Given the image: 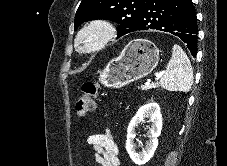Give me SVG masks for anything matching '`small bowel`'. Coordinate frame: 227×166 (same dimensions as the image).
I'll use <instances>...</instances> for the list:
<instances>
[{
    "label": "small bowel",
    "mask_w": 227,
    "mask_h": 166,
    "mask_svg": "<svg viewBox=\"0 0 227 166\" xmlns=\"http://www.w3.org/2000/svg\"><path fill=\"white\" fill-rule=\"evenodd\" d=\"M87 143L94 149L93 160L98 166H119L118 147L108 129L103 134L90 135Z\"/></svg>",
    "instance_id": "small-bowel-1"
}]
</instances>
